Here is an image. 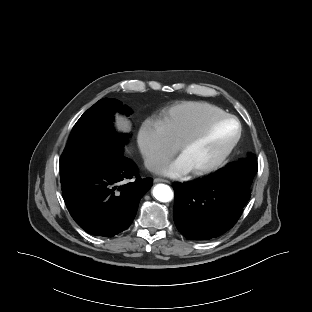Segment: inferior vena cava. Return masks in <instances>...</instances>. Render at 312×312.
I'll use <instances>...</instances> for the list:
<instances>
[{"mask_svg":"<svg viewBox=\"0 0 312 312\" xmlns=\"http://www.w3.org/2000/svg\"><path fill=\"white\" fill-rule=\"evenodd\" d=\"M144 164L145 167L152 172H159L162 168V164L155 160H146Z\"/></svg>","mask_w":312,"mask_h":312,"instance_id":"602c4592","label":"inferior vena cava"}]
</instances>
